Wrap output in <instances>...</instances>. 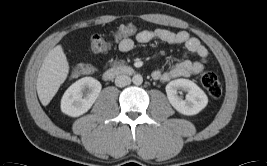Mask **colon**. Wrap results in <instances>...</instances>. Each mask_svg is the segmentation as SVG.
Listing matches in <instances>:
<instances>
[{
	"label": "colon",
	"instance_id": "5ec220e1",
	"mask_svg": "<svg viewBox=\"0 0 267 166\" xmlns=\"http://www.w3.org/2000/svg\"><path fill=\"white\" fill-rule=\"evenodd\" d=\"M138 25L135 22H128L126 25H114L111 28V36L114 39H123L128 35H135L138 32ZM111 46L110 40L99 35H94L89 39V49L94 52L107 51ZM78 74H90L93 68L89 65H80L77 67ZM200 80L203 87L213 99H218L222 96L223 88L218 77L211 71H202Z\"/></svg>",
	"mask_w": 267,
	"mask_h": 166
}]
</instances>
